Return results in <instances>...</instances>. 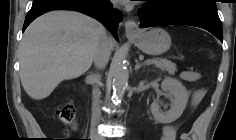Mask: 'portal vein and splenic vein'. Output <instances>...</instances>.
Segmentation results:
<instances>
[{
	"label": "portal vein and splenic vein",
	"instance_id": "1",
	"mask_svg": "<svg viewBox=\"0 0 236 140\" xmlns=\"http://www.w3.org/2000/svg\"><path fill=\"white\" fill-rule=\"evenodd\" d=\"M154 61H155V60L149 59V60H146L145 63H146V64H152V63H154Z\"/></svg>",
	"mask_w": 236,
	"mask_h": 140
}]
</instances>
